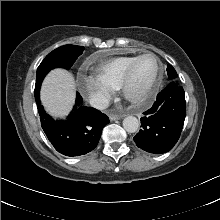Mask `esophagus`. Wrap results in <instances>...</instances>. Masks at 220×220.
Masks as SVG:
<instances>
[{"mask_svg": "<svg viewBox=\"0 0 220 220\" xmlns=\"http://www.w3.org/2000/svg\"><path fill=\"white\" fill-rule=\"evenodd\" d=\"M123 116L122 115H115V114H110L109 115V118H110V120H117V119H120V118H122Z\"/></svg>", "mask_w": 220, "mask_h": 220, "instance_id": "esophagus-1", "label": "esophagus"}]
</instances>
